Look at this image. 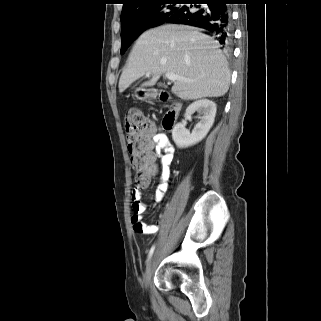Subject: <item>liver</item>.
Segmentation results:
<instances>
[{"label": "liver", "instance_id": "obj_1", "mask_svg": "<svg viewBox=\"0 0 321 321\" xmlns=\"http://www.w3.org/2000/svg\"><path fill=\"white\" fill-rule=\"evenodd\" d=\"M148 72L152 78L142 86L155 85L164 73L186 79L172 87L184 100L221 97L229 89L230 71L219 43L189 26L163 25L142 34L121 74L119 92Z\"/></svg>", "mask_w": 321, "mask_h": 321}]
</instances>
